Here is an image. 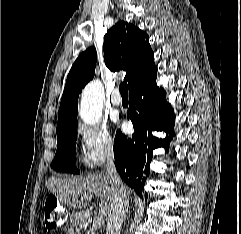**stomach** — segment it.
<instances>
[{"label":"stomach","instance_id":"obj_1","mask_svg":"<svg viewBox=\"0 0 241 234\" xmlns=\"http://www.w3.org/2000/svg\"><path fill=\"white\" fill-rule=\"evenodd\" d=\"M72 220L75 221V222H76V221L79 222V221H80V215H79V214L73 215V216H72Z\"/></svg>","mask_w":241,"mask_h":234}]
</instances>
